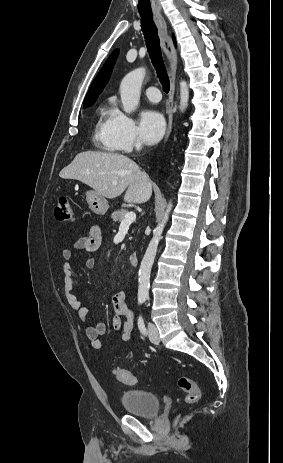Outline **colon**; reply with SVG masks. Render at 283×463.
I'll return each mask as SVG.
<instances>
[{
	"label": "colon",
	"mask_w": 283,
	"mask_h": 463,
	"mask_svg": "<svg viewBox=\"0 0 283 463\" xmlns=\"http://www.w3.org/2000/svg\"><path fill=\"white\" fill-rule=\"evenodd\" d=\"M55 216L60 223L73 222L74 213L71 200L68 197L62 196L58 199L55 208ZM114 375L116 379L123 384L135 385L138 383L137 377L124 368H115ZM178 387L184 394V402L186 404H195L199 401L201 392L193 379L188 376H180L178 379Z\"/></svg>",
	"instance_id": "colon-1"
}]
</instances>
